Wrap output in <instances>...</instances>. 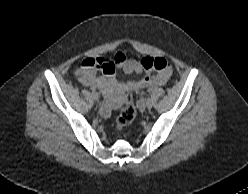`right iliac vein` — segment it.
<instances>
[{
	"label": "right iliac vein",
	"mask_w": 248,
	"mask_h": 194,
	"mask_svg": "<svg viewBox=\"0 0 248 194\" xmlns=\"http://www.w3.org/2000/svg\"><path fill=\"white\" fill-rule=\"evenodd\" d=\"M92 97H93V99H94L95 101H98V100H99V95H98V93H96V92H94V93L92 94Z\"/></svg>",
	"instance_id": "right-iliac-vein-1"
}]
</instances>
